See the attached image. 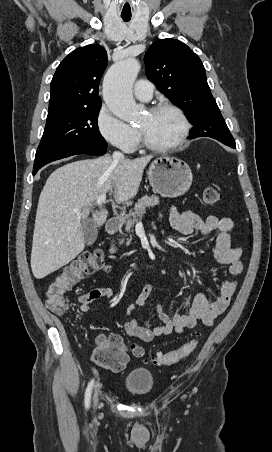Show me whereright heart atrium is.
<instances>
[{
	"label": "right heart atrium",
	"instance_id": "right-heart-atrium-1",
	"mask_svg": "<svg viewBox=\"0 0 272 452\" xmlns=\"http://www.w3.org/2000/svg\"><path fill=\"white\" fill-rule=\"evenodd\" d=\"M96 126L102 138L109 144L131 152L137 143L138 134L134 128L102 106L96 117Z\"/></svg>",
	"mask_w": 272,
	"mask_h": 452
}]
</instances>
